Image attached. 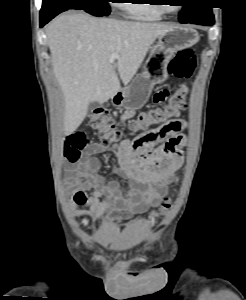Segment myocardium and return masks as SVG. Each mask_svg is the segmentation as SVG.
Masks as SVG:
<instances>
[{"instance_id":"obj_1","label":"myocardium","mask_w":246,"mask_h":300,"mask_svg":"<svg viewBox=\"0 0 246 300\" xmlns=\"http://www.w3.org/2000/svg\"><path fill=\"white\" fill-rule=\"evenodd\" d=\"M159 8L163 13H166V14H175L178 12V10L181 9L180 6L175 7V9H170L168 6H165L162 4L159 6Z\"/></svg>"}]
</instances>
